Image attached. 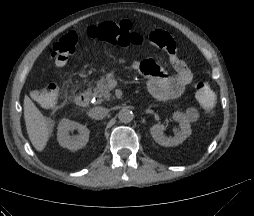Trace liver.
<instances>
[{"mask_svg": "<svg viewBox=\"0 0 254 216\" xmlns=\"http://www.w3.org/2000/svg\"><path fill=\"white\" fill-rule=\"evenodd\" d=\"M24 119L29 139L37 151H43L50 137L51 124L34 102L24 98Z\"/></svg>", "mask_w": 254, "mask_h": 216, "instance_id": "obj_1", "label": "liver"}]
</instances>
